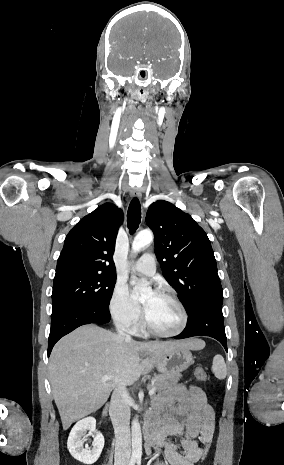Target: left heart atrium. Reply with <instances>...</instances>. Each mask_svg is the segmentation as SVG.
<instances>
[{
  "mask_svg": "<svg viewBox=\"0 0 284 465\" xmlns=\"http://www.w3.org/2000/svg\"><path fill=\"white\" fill-rule=\"evenodd\" d=\"M154 295H156V294H153V296H154ZM146 307H147V305H144V306H143V311H145Z\"/></svg>",
  "mask_w": 284,
  "mask_h": 465,
  "instance_id": "obj_1",
  "label": "left heart atrium"
}]
</instances>
